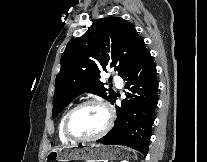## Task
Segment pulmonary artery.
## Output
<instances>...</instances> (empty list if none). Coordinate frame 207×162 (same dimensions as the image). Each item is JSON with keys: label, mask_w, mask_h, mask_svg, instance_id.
Instances as JSON below:
<instances>
[{"label": "pulmonary artery", "mask_w": 207, "mask_h": 162, "mask_svg": "<svg viewBox=\"0 0 207 162\" xmlns=\"http://www.w3.org/2000/svg\"><path fill=\"white\" fill-rule=\"evenodd\" d=\"M115 84L117 88L121 89L123 87V80L120 77L116 76Z\"/></svg>", "instance_id": "1"}]
</instances>
